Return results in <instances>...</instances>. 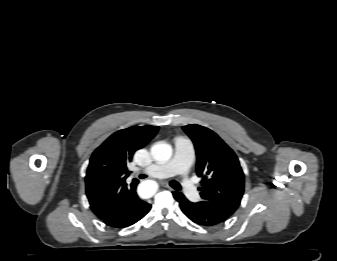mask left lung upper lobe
I'll use <instances>...</instances> for the list:
<instances>
[{
  "mask_svg": "<svg viewBox=\"0 0 337 261\" xmlns=\"http://www.w3.org/2000/svg\"><path fill=\"white\" fill-rule=\"evenodd\" d=\"M182 128L194 143L196 172L202 178V200L196 204L227 220L240 205L244 192L238 158L212 130L196 124Z\"/></svg>",
  "mask_w": 337,
  "mask_h": 261,
  "instance_id": "5c2ea615",
  "label": "left lung upper lobe"
}]
</instances>
